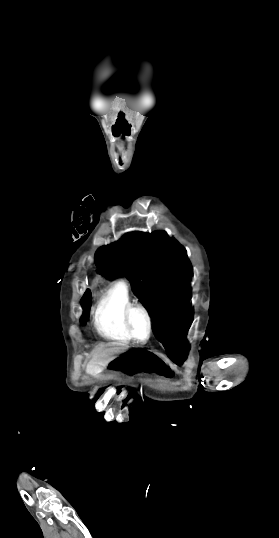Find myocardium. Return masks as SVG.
<instances>
[{
    "label": "myocardium",
    "mask_w": 279,
    "mask_h": 538,
    "mask_svg": "<svg viewBox=\"0 0 279 538\" xmlns=\"http://www.w3.org/2000/svg\"><path fill=\"white\" fill-rule=\"evenodd\" d=\"M135 312L141 313L146 320L148 333H147L146 338L144 339H138L133 333L132 316ZM124 327L131 340L140 344L147 343L153 334V320H152L150 312L145 306L141 304H131L130 306L127 307L124 313Z\"/></svg>",
    "instance_id": "myocardium-1"
}]
</instances>
